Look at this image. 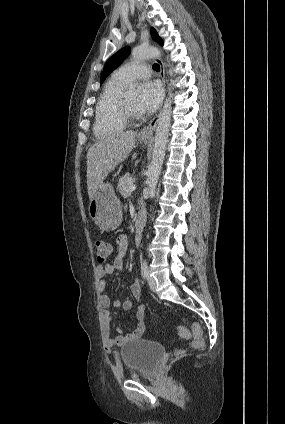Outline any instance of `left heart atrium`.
<instances>
[{"label":"left heart atrium","mask_w":285,"mask_h":424,"mask_svg":"<svg viewBox=\"0 0 285 424\" xmlns=\"http://www.w3.org/2000/svg\"><path fill=\"white\" fill-rule=\"evenodd\" d=\"M162 89L159 83L147 80L141 86L136 108L139 113L155 111L162 99Z\"/></svg>","instance_id":"39dd6f15"}]
</instances>
